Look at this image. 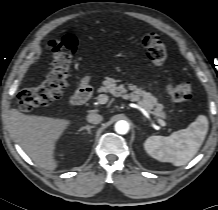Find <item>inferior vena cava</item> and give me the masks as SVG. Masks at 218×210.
<instances>
[{"instance_id": "602c4592", "label": "inferior vena cava", "mask_w": 218, "mask_h": 210, "mask_svg": "<svg viewBox=\"0 0 218 210\" xmlns=\"http://www.w3.org/2000/svg\"><path fill=\"white\" fill-rule=\"evenodd\" d=\"M102 120H103V117H102L100 114H98V113H96V112H94V111L90 112V113L87 115V121H88L89 123H92V124H99V123L102 122Z\"/></svg>"}]
</instances>
